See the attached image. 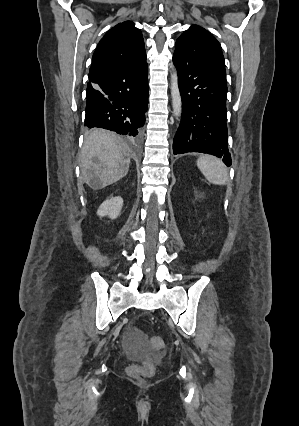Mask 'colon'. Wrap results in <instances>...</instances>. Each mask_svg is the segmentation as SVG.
Wrapping results in <instances>:
<instances>
[{
  "instance_id": "1",
  "label": "colon",
  "mask_w": 299,
  "mask_h": 426,
  "mask_svg": "<svg viewBox=\"0 0 299 426\" xmlns=\"http://www.w3.org/2000/svg\"><path fill=\"white\" fill-rule=\"evenodd\" d=\"M137 334H140L137 332ZM151 345L156 350H161L164 347V341L160 337H152L150 339ZM155 359V354L152 353L148 357V364L145 366H131L127 369L128 374L133 378H142V377H149L153 374L154 367L152 365L153 360Z\"/></svg>"
}]
</instances>
